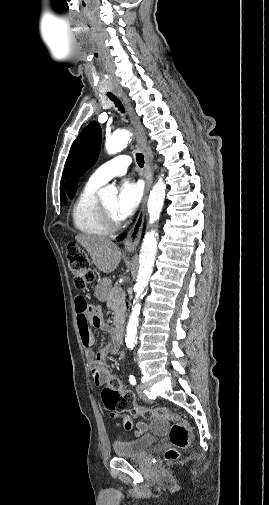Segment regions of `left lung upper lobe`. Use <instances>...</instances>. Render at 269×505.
I'll return each instance as SVG.
<instances>
[{
	"label": "left lung upper lobe",
	"mask_w": 269,
	"mask_h": 505,
	"mask_svg": "<svg viewBox=\"0 0 269 505\" xmlns=\"http://www.w3.org/2000/svg\"><path fill=\"white\" fill-rule=\"evenodd\" d=\"M101 144V128L91 122L73 142L66 161V186L70 197L77 189V180L96 161Z\"/></svg>",
	"instance_id": "1"
}]
</instances>
